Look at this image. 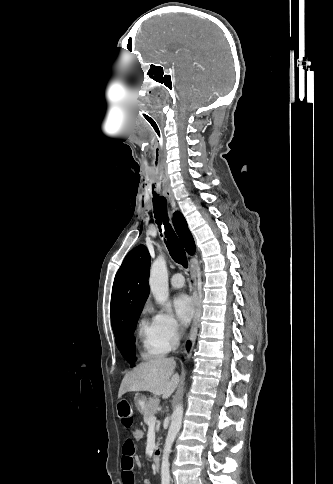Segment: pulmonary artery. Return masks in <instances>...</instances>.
<instances>
[{
  "mask_svg": "<svg viewBox=\"0 0 333 484\" xmlns=\"http://www.w3.org/2000/svg\"><path fill=\"white\" fill-rule=\"evenodd\" d=\"M171 285L174 288H182L184 286L185 280L181 273H174L170 279Z\"/></svg>",
  "mask_w": 333,
  "mask_h": 484,
  "instance_id": "e3ab8cb5",
  "label": "pulmonary artery"
}]
</instances>
